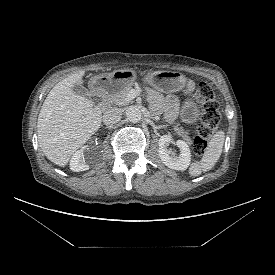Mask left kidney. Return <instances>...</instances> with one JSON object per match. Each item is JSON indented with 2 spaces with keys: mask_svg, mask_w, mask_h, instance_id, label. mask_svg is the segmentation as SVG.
I'll return each mask as SVG.
<instances>
[{
  "mask_svg": "<svg viewBox=\"0 0 275 275\" xmlns=\"http://www.w3.org/2000/svg\"><path fill=\"white\" fill-rule=\"evenodd\" d=\"M171 142L172 137L169 135L160 137L158 152L161 161L170 169L186 170L191 162V152L188 144L182 140L176 141V145L180 149V153L176 154L168 150V146Z\"/></svg>",
  "mask_w": 275,
  "mask_h": 275,
  "instance_id": "1",
  "label": "left kidney"
}]
</instances>
